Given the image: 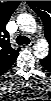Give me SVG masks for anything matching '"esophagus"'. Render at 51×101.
<instances>
[{
  "label": "esophagus",
  "instance_id": "obj_1",
  "mask_svg": "<svg viewBox=\"0 0 51 101\" xmlns=\"http://www.w3.org/2000/svg\"><path fill=\"white\" fill-rule=\"evenodd\" d=\"M35 46V42H31L29 45H27L28 48H33Z\"/></svg>",
  "mask_w": 51,
  "mask_h": 101
}]
</instances>
